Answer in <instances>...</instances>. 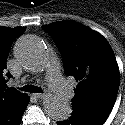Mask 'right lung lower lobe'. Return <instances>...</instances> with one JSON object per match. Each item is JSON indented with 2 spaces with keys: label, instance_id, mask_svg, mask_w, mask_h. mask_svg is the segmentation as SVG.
Returning a JSON list of instances; mask_svg holds the SVG:
<instances>
[{
  "label": "right lung lower lobe",
  "instance_id": "98d812e1",
  "mask_svg": "<svg viewBox=\"0 0 125 125\" xmlns=\"http://www.w3.org/2000/svg\"><path fill=\"white\" fill-rule=\"evenodd\" d=\"M29 103V97L24 94L18 100L0 110V125H20L22 115Z\"/></svg>",
  "mask_w": 125,
  "mask_h": 125
}]
</instances>
